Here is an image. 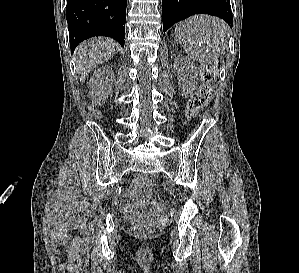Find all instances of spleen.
<instances>
[{"label":"spleen","instance_id":"spleen-1","mask_svg":"<svg viewBox=\"0 0 299 273\" xmlns=\"http://www.w3.org/2000/svg\"><path fill=\"white\" fill-rule=\"evenodd\" d=\"M228 25L217 17L195 15L178 23L175 38L187 55L200 64L216 61L227 45Z\"/></svg>","mask_w":299,"mask_h":273}]
</instances>
